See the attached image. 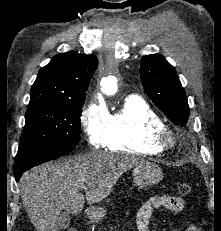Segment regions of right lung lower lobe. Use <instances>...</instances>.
<instances>
[{"instance_id": "right-lung-lower-lobe-1", "label": "right lung lower lobe", "mask_w": 221, "mask_h": 231, "mask_svg": "<svg viewBox=\"0 0 221 231\" xmlns=\"http://www.w3.org/2000/svg\"><path fill=\"white\" fill-rule=\"evenodd\" d=\"M72 150L73 149L47 150L31 155L30 157L26 158L19 164L14 165L13 171L15 174V180L19 181V178L28 169L37 166L39 164H42L44 162L64 156Z\"/></svg>"}]
</instances>
